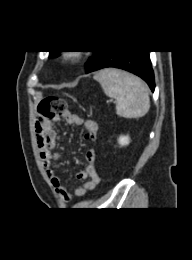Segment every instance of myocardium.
Returning <instances> with one entry per match:
<instances>
[{
  "label": "myocardium",
  "instance_id": "1",
  "mask_svg": "<svg viewBox=\"0 0 192 260\" xmlns=\"http://www.w3.org/2000/svg\"><path fill=\"white\" fill-rule=\"evenodd\" d=\"M65 57L70 61H77L81 57V53L79 52H68Z\"/></svg>",
  "mask_w": 192,
  "mask_h": 260
}]
</instances>
